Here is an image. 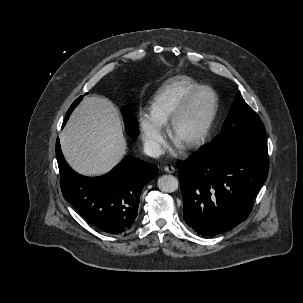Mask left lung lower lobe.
<instances>
[{
	"label": "left lung lower lobe",
	"mask_w": 303,
	"mask_h": 303,
	"mask_svg": "<svg viewBox=\"0 0 303 303\" xmlns=\"http://www.w3.org/2000/svg\"><path fill=\"white\" fill-rule=\"evenodd\" d=\"M268 159L240 152L201 149L179 168L183 218L203 236L243 222L267 179Z\"/></svg>",
	"instance_id": "left-lung-lower-lobe-1"
}]
</instances>
